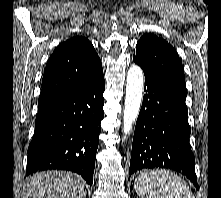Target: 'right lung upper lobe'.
<instances>
[{
    "instance_id": "1",
    "label": "right lung upper lobe",
    "mask_w": 221,
    "mask_h": 198,
    "mask_svg": "<svg viewBox=\"0 0 221 198\" xmlns=\"http://www.w3.org/2000/svg\"><path fill=\"white\" fill-rule=\"evenodd\" d=\"M101 60L84 37H72L56 47L45 67L39 108L79 89L98 77Z\"/></svg>"
}]
</instances>
